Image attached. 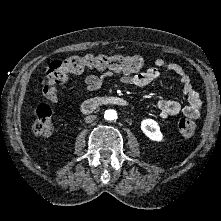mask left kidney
<instances>
[{
  "label": "left kidney",
  "mask_w": 221,
  "mask_h": 221,
  "mask_svg": "<svg viewBox=\"0 0 221 221\" xmlns=\"http://www.w3.org/2000/svg\"><path fill=\"white\" fill-rule=\"evenodd\" d=\"M142 132L152 141H162L163 134L158 123L153 119H144L141 122Z\"/></svg>",
  "instance_id": "1"
}]
</instances>
